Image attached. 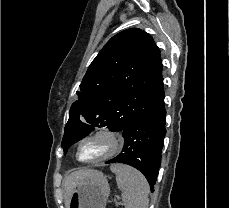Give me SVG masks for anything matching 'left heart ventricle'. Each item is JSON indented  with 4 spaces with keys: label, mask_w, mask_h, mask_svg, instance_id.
I'll return each mask as SVG.
<instances>
[{
    "label": "left heart ventricle",
    "mask_w": 229,
    "mask_h": 208,
    "mask_svg": "<svg viewBox=\"0 0 229 208\" xmlns=\"http://www.w3.org/2000/svg\"><path fill=\"white\" fill-rule=\"evenodd\" d=\"M98 134H104L98 133ZM115 147H86L85 143L83 142L79 149V157L83 160H93L97 159L99 157H102L112 150H114Z\"/></svg>",
    "instance_id": "b2bd125f"
}]
</instances>
